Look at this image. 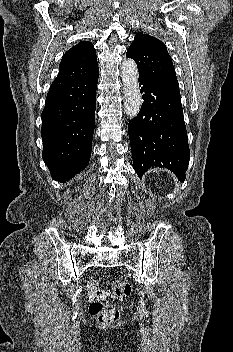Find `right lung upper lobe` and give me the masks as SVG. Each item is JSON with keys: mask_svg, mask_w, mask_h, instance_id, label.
<instances>
[{"mask_svg": "<svg viewBox=\"0 0 233 352\" xmlns=\"http://www.w3.org/2000/svg\"><path fill=\"white\" fill-rule=\"evenodd\" d=\"M98 69L97 57L92 43L81 41L63 56L59 73L51 86L69 83Z\"/></svg>", "mask_w": 233, "mask_h": 352, "instance_id": "cb5924a9", "label": "right lung upper lobe"}]
</instances>
